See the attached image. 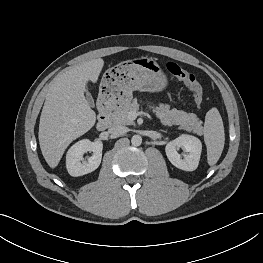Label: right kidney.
<instances>
[{"instance_id": "ca27d5eb", "label": "right kidney", "mask_w": 263, "mask_h": 263, "mask_svg": "<svg viewBox=\"0 0 263 263\" xmlns=\"http://www.w3.org/2000/svg\"><path fill=\"white\" fill-rule=\"evenodd\" d=\"M103 144L97 140L91 142L83 139L75 143L68 150L66 155V168L71 176L78 177L96 170L102 159ZM93 152V155L83 161V155L87 152Z\"/></svg>"}]
</instances>
